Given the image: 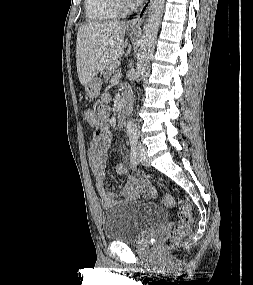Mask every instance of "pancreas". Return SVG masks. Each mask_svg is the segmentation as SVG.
I'll return each mask as SVG.
<instances>
[{"label":"pancreas","instance_id":"1","mask_svg":"<svg viewBox=\"0 0 253 285\" xmlns=\"http://www.w3.org/2000/svg\"><path fill=\"white\" fill-rule=\"evenodd\" d=\"M120 68L116 64H111L108 67H106L104 72V81L107 82L108 79L113 78V76L117 73H119Z\"/></svg>","mask_w":253,"mask_h":285}]
</instances>
